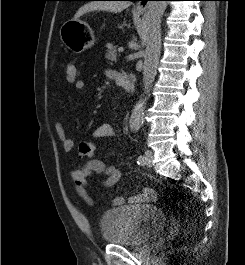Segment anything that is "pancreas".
<instances>
[{
  "instance_id": "cf45deb5",
  "label": "pancreas",
  "mask_w": 245,
  "mask_h": 265,
  "mask_svg": "<svg viewBox=\"0 0 245 265\" xmlns=\"http://www.w3.org/2000/svg\"><path fill=\"white\" fill-rule=\"evenodd\" d=\"M107 50L105 54V58L110 60V61H117V51H116V46H113L111 43H107L106 45Z\"/></svg>"
}]
</instances>
